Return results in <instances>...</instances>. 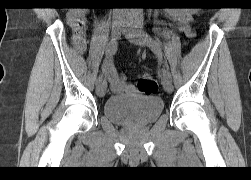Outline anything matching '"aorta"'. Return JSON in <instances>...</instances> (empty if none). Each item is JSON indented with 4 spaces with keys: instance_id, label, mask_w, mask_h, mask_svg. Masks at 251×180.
I'll return each instance as SVG.
<instances>
[{
    "instance_id": "1",
    "label": "aorta",
    "mask_w": 251,
    "mask_h": 180,
    "mask_svg": "<svg viewBox=\"0 0 251 180\" xmlns=\"http://www.w3.org/2000/svg\"><path fill=\"white\" fill-rule=\"evenodd\" d=\"M134 10V13L136 15H140L141 16V8H136V9H133Z\"/></svg>"
}]
</instances>
